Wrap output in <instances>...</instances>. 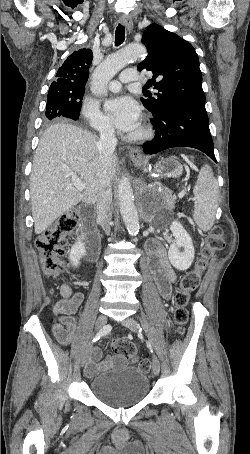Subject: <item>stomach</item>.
Wrapping results in <instances>:
<instances>
[{
  "label": "stomach",
  "mask_w": 250,
  "mask_h": 454,
  "mask_svg": "<svg viewBox=\"0 0 250 454\" xmlns=\"http://www.w3.org/2000/svg\"><path fill=\"white\" fill-rule=\"evenodd\" d=\"M133 163L138 168L148 170V162L145 159H134ZM183 168L172 158H163L155 166V173L162 177H178L182 174Z\"/></svg>",
  "instance_id": "0dacf381"
}]
</instances>
